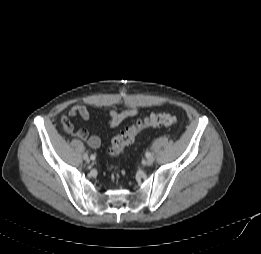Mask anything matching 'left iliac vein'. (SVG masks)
I'll return each mask as SVG.
<instances>
[{"instance_id": "1", "label": "left iliac vein", "mask_w": 261, "mask_h": 254, "mask_svg": "<svg viewBox=\"0 0 261 254\" xmlns=\"http://www.w3.org/2000/svg\"><path fill=\"white\" fill-rule=\"evenodd\" d=\"M154 163V157L151 155L149 158L146 160V165L150 166Z\"/></svg>"}]
</instances>
